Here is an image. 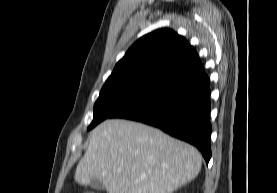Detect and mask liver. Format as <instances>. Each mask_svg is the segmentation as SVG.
Returning a JSON list of instances; mask_svg holds the SVG:
<instances>
[{
    "label": "liver",
    "mask_w": 277,
    "mask_h": 193,
    "mask_svg": "<svg viewBox=\"0 0 277 193\" xmlns=\"http://www.w3.org/2000/svg\"><path fill=\"white\" fill-rule=\"evenodd\" d=\"M200 168L193 146L141 123L110 119L91 132L75 180L88 185L98 178L107 193H172Z\"/></svg>",
    "instance_id": "liver-1"
}]
</instances>
